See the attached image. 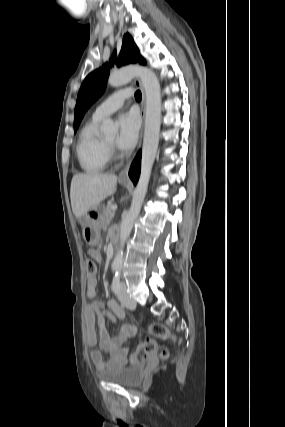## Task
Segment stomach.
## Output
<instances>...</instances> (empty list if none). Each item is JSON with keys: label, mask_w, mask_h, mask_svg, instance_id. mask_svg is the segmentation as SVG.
<instances>
[{"label": "stomach", "mask_w": 285, "mask_h": 427, "mask_svg": "<svg viewBox=\"0 0 285 427\" xmlns=\"http://www.w3.org/2000/svg\"><path fill=\"white\" fill-rule=\"evenodd\" d=\"M104 208L101 205L89 210L82 219L83 237L88 244H92L99 238L101 219Z\"/></svg>", "instance_id": "stomach-1"}]
</instances>
